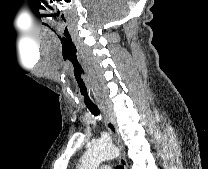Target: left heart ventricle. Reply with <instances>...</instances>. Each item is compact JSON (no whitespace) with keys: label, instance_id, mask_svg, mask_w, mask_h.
Instances as JSON below:
<instances>
[{"label":"left heart ventricle","instance_id":"1","mask_svg":"<svg viewBox=\"0 0 208 169\" xmlns=\"http://www.w3.org/2000/svg\"><path fill=\"white\" fill-rule=\"evenodd\" d=\"M94 169H100L99 167H95Z\"/></svg>","mask_w":208,"mask_h":169}]
</instances>
